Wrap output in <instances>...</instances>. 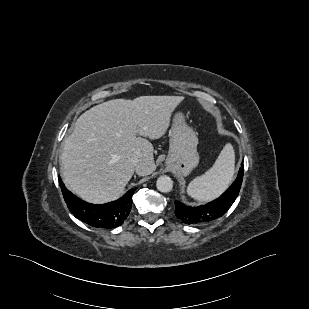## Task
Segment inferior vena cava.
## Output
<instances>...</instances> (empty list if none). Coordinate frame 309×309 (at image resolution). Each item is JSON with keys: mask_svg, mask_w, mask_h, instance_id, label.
Listing matches in <instances>:
<instances>
[{"mask_svg": "<svg viewBox=\"0 0 309 309\" xmlns=\"http://www.w3.org/2000/svg\"><path fill=\"white\" fill-rule=\"evenodd\" d=\"M131 162H132L133 165L135 166L136 172H138L139 169H140V167H141V163H140L139 159H138L137 157H133V158L131 159Z\"/></svg>", "mask_w": 309, "mask_h": 309, "instance_id": "inferior-vena-cava-1", "label": "inferior vena cava"}]
</instances>
